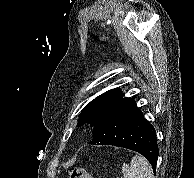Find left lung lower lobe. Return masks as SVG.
<instances>
[{
	"instance_id": "obj_1",
	"label": "left lung lower lobe",
	"mask_w": 194,
	"mask_h": 178,
	"mask_svg": "<svg viewBox=\"0 0 194 178\" xmlns=\"http://www.w3.org/2000/svg\"><path fill=\"white\" fill-rule=\"evenodd\" d=\"M89 144L114 145L136 151L156 168L158 145L154 127L130 98L122 100L93 128Z\"/></svg>"
}]
</instances>
